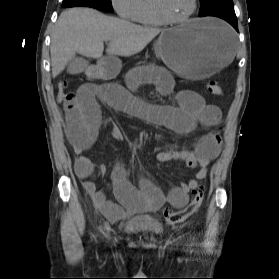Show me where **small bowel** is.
I'll return each instance as SVG.
<instances>
[{
    "mask_svg": "<svg viewBox=\"0 0 279 279\" xmlns=\"http://www.w3.org/2000/svg\"><path fill=\"white\" fill-rule=\"evenodd\" d=\"M145 82L154 83L160 95L169 96L174 93L172 77L166 70L146 67L130 70L126 74L125 85L85 84L76 92L68 93L63 101L65 135L78 155L75 173L96 208L110 220L121 219L125 212H155L166 201L175 208L184 207L188 202L189 192L196 189L198 181L207 176L210 162L221 151V136L215 132L201 136L192 150L168 147L159 152V161H180L196 170L195 178L172 188L166 196L143 177L138 185L129 182L124 168L117 163L112 171V179L118 203L108 200L91 179L96 171L104 174L105 167L96 166L83 155L95 145L99 136L102 125L100 103L180 134L192 132L198 124L210 127L220 125L219 108L206 103L203 96L192 89L175 93L178 106L153 105L138 99L133 90ZM111 132L114 137H119L116 128Z\"/></svg>",
    "mask_w": 279,
    "mask_h": 279,
    "instance_id": "c3829d8e",
    "label": "small bowel"
}]
</instances>
